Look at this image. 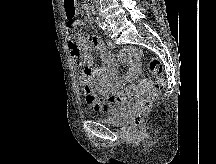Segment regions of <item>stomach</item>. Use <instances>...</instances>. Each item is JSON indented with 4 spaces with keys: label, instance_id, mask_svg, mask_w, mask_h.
<instances>
[{
    "label": "stomach",
    "instance_id": "0dacf381",
    "mask_svg": "<svg viewBox=\"0 0 216 164\" xmlns=\"http://www.w3.org/2000/svg\"><path fill=\"white\" fill-rule=\"evenodd\" d=\"M65 3V20H79V0H63Z\"/></svg>",
    "mask_w": 216,
    "mask_h": 164
}]
</instances>
